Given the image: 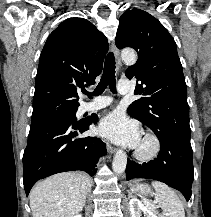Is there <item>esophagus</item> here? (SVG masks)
Instances as JSON below:
<instances>
[{
  "label": "esophagus",
  "instance_id": "esophagus-1",
  "mask_svg": "<svg viewBox=\"0 0 211 217\" xmlns=\"http://www.w3.org/2000/svg\"><path fill=\"white\" fill-rule=\"evenodd\" d=\"M111 50L113 51V53L115 55L117 65L120 66L121 62H120V58H119V50L116 47L115 42L111 43ZM106 146H107V150L109 153H114L116 151V148L114 146H112L109 142H106Z\"/></svg>",
  "mask_w": 211,
  "mask_h": 217
}]
</instances>
